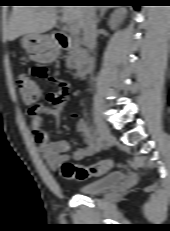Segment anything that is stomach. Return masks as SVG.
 Returning a JSON list of instances; mask_svg holds the SVG:
<instances>
[{"label":"stomach","instance_id":"stomach-1","mask_svg":"<svg viewBox=\"0 0 170 231\" xmlns=\"http://www.w3.org/2000/svg\"><path fill=\"white\" fill-rule=\"evenodd\" d=\"M20 45L26 50L29 57L39 63L54 61L59 53L58 47L48 35L28 33L20 39Z\"/></svg>","mask_w":170,"mask_h":231}]
</instances>
